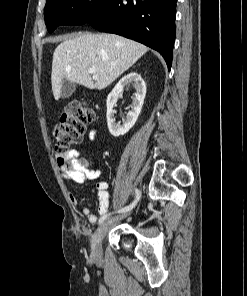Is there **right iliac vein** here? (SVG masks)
<instances>
[{
  "mask_svg": "<svg viewBox=\"0 0 247 296\" xmlns=\"http://www.w3.org/2000/svg\"><path fill=\"white\" fill-rule=\"evenodd\" d=\"M126 216V215H124ZM122 216V218L124 217ZM115 219H109L104 221L96 230V232L94 233L92 240H91V254L92 257L95 259H98L101 257L102 255V240L104 238V236L106 235L110 224L114 221Z\"/></svg>",
  "mask_w": 247,
  "mask_h": 296,
  "instance_id": "1",
  "label": "right iliac vein"
}]
</instances>
